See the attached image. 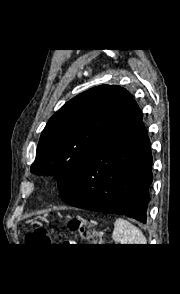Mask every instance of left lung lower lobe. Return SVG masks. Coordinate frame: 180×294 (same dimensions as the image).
Here are the masks:
<instances>
[{
    "label": "left lung lower lobe",
    "mask_w": 180,
    "mask_h": 294,
    "mask_svg": "<svg viewBox=\"0 0 180 294\" xmlns=\"http://www.w3.org/2000/svg\"><path fill=\"white\" fill-rule=\"evenodd\" d=\"M151 165L150 140L134 101L88 162L75 191L62 200L146 223Z\"/></svg>",
    "instance_id": "left-lung-lower-lobe-1"
}]
</instances>
